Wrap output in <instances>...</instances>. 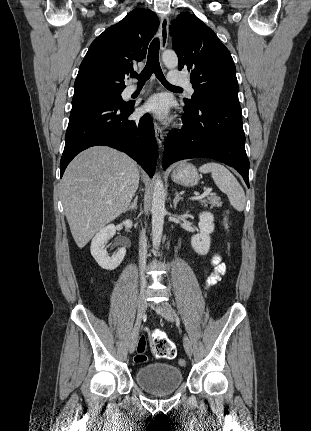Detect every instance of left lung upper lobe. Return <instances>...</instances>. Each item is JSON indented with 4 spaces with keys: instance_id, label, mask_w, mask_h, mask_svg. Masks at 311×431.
Listing matches in <instances>:
<instances>
[{
    "instance_id": "left-lung-upper-lobe-1",
    "label": "left lung upper lobe",
    "mask_w": 311,
    "mask_h": 431,
    "mask_svg": "<svg viewBox=\"0 0 311 431\" xmlns=\"http://www.w3.org/2000/svg\"><path fill=\"white\" fill-rule=\"evenodd\" d=\"M173 50L179 59V70L190 72L194 88L185 107L194 109L207 100L230 97L238 99L236 67L228 49L214 31L195 15L181 13L170 26Z\"/></svg>"
}]
</instances>
